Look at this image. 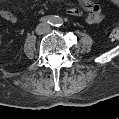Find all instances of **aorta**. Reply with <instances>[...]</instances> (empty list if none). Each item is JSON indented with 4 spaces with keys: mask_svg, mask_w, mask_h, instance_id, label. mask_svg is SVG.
I'll use <instances>...</instances> for the list:
<instances>
[{
    "mask_svg": "<svg viewBox=\"0 0 119 119\" xmlns=\"http://www.w3.org/2000/svg\"><path fill=\"white\" fill-rule=\"evenodd\" d=\"M52 22H53L54 25H59L61 23V19L60 18H56Z\"/></svg>",
    "mask_w": 119,
    "mask_h": 119,
    "instance_id": "762f6f07",
    "label": "aorta"
}]
</instances>
